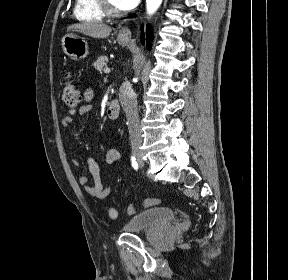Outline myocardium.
I'll use <instances>...</instances> for the list:
<instances>
[{
    "label": "myocardium",
    "mask_w": 288,
    "mask_h": 280,
    "mask_svg": "<svg viewBox=\"0 0 288 280\" xmlns=\"http://www.w3.org/2000/svg\"><path fill=\"white\" fill-rule=\"evenodd\" d=\"M98 3L104 15L111 17L119 15V10L112 5L110 0H98Z\"/></svg>",
    "instance_id": "1"
}]
</instances>
